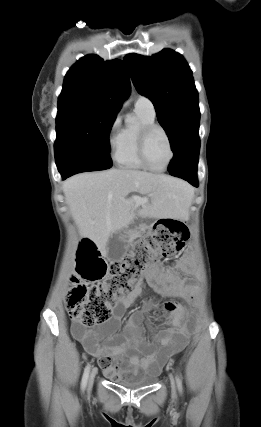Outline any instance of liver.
Returning a JSON list of instances; mask_svg holds the SVG:
<instances>
[{
  "label": "liver",
  "mask_w": 261,
  "mask_h": 427,
  "mask_svg": "<svg viewBox=\"0 0 261 427\" xmlns=\"http://www.w3.org/2000/svg\"><path fill=\"white\" fill-rule=\"evenodd\" d=\"M136 191L148 201L138 204L127 198ZM63 192L80 236L92 240L102 255L110 236L137 216L186 219L193 198L183 180L128 169L77 174L63 183Z\"/></svg>",
  "instance_id": "liver-1"
}]
</instances>
